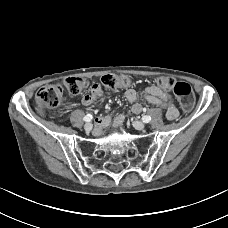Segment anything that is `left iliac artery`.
<instances>
[{"instance_id": "44dca946", "label": "left iliac artery", "mask_w": 228, "mask_h": 228, "mask_svg": "<svg viewBox=\"0 0 228 228\" xmlns=\"http://www.w3.org/2000/svg\"><path fill=\"white\" fill-rule=\"evenodd\" d=\"M142 121H143L144 123H148V122L151 121V117L148 116V115H145V116L142 117Z\"/></svg>"}]
</instances>
